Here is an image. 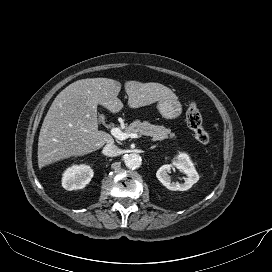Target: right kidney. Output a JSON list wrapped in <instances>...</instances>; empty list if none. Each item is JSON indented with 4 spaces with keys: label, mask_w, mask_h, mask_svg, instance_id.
<instances>
[{
    "label": "right kidney",
    "mask_w": 272,
    "mask_h": 272,
    "mask_svg": "<svg viewBox=\"0 0 272 272\" xmlns=\"http://www.w3.org/2000/svg\"><path fill=\"white\" fill-rule=\"evenodd\" d=\"M93 174L88 165H73L64 172L62 186L68 191L82 189L91 181Z\"/></svg>",
    "instance_id": "ca27d5eb"
}]
</instances>
